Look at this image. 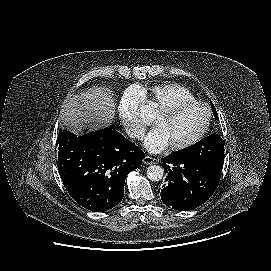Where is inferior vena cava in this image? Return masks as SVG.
<instances>
[{
	"label": "inferior vena cava",
	"instance_id": "obj_1",
	"mask_svg": "<svg viewBox=\"0 0 271 271\" xmlns=\"http://www.w3.org/2000/svg\"><path fill=\"white\" fill-rule=\"evenodd\" d=\"M130 135L132 137H137L139 139L143 138V133H141V132H131Z\"/></svg>",
	"mask_w": 271,
	"mask_h": 271
}]
</instances>
